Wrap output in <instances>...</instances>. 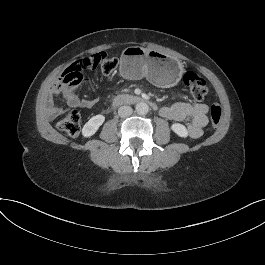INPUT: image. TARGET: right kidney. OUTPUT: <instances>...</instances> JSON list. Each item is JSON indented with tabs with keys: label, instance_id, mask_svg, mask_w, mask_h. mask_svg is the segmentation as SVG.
<instances>
[{
	"label": "right kidney",
	"instance_id": "obj_1",
	"mask_svg": "<svg viewBox=\"0 0 265 265\" xmlns=\"http://www.w3.org/2000/svg\"><path fill=\"white\" fill-rule=\"evenodd\" d=\"M105 121V117L103 115H96L93 116L84 126L82 129V135L84 137H90L96 133L98 128L103 124Z\"/></svg>",
	"mask_w": 265,
	"mask_h": 265
}]
</instances>
